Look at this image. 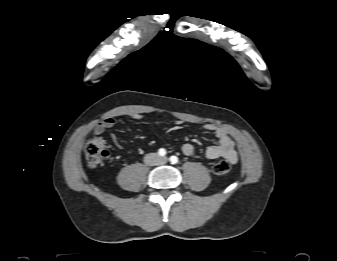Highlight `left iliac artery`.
Here are the masks:
<instances>
[{"mask_svg":"<svg viewBox=\"0 0 337 261\" xmlns=\"http://www.w3.org/2000/svg\"><path fill=\"white\" fill-rule=\"evenodd\" d=\"M178 157H176V156H171L170 157V162L172 163V164H176V163H178Z\"/></svg>","mask_w":337,"mask_h":261,"instance_id":"1","label":"left iliac artery"}]
</instances>
